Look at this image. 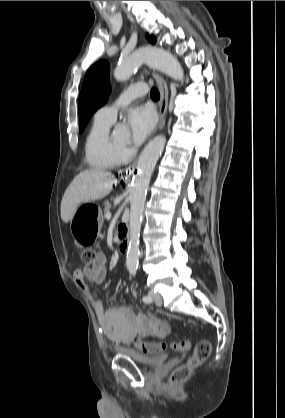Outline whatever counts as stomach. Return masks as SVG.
Segmentation results:
<instances>
[{
    "label": "stomach",
    "mask_w": 285,
    "mask_h": 418,
    "mask_svg": "<svg viewBox=\"0 0 285 418\" xmlns=\"http://www.w3.org/2000/svg\"><path fill=\"white\" fill-rule=\"evenodd\" d=\"M85 205H80L70 220L71 234L74 240L81 245L93 243L103 223L101 209L97 207L93 212H87L84 209Z\"/></svg>",
    "instance_id": "stomach-1"
}]
</instances>
